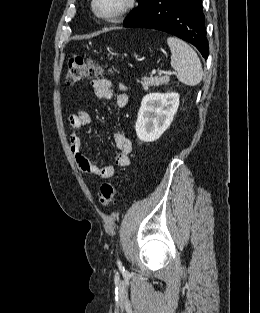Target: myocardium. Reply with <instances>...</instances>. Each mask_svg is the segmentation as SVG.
<instances>
[{"instance_id": "1", "label": "myocardium", "mask_w": 260, "mask_h": 313, "mask_svg": "<svg viewBox=\"0 0 260 313\" xmlns=\"http://www.w3.org/2000/svg\"><path fill=\"white\" fill-rule=\"evenodd\" d=\"M135 5H136V0H126L123 7L119 9L117 12L111 13V14H103V13H100L97 9V0H92L91 2V8L95 16L101 20L108 21V22L116 21L120 19L121 17L127 15L129 12L132 11Z\"/></svg>"}]
</instances>
